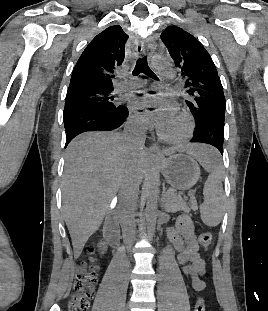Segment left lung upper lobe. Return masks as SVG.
<instances>
[{
  "instance_id": "obj_1",
  "label": "left lung upper lobe",
  "mask_w": 268,
  "mask_h": 311,
  "mask_svg": "<svg viewBox=\"0 0 268 311\" xmlns=\"http://www.w3.org/2000/svg\"><path fill=\"white\" fill-rule=\"evenodd\" d=\"M175 66L180 69L189 107L195 124L217 123L212 113L225 110L223 87L216 67L203 45L177 26H168L161 34ZM216 120V121H215Z\"/></svg>"
}]
</instances>
